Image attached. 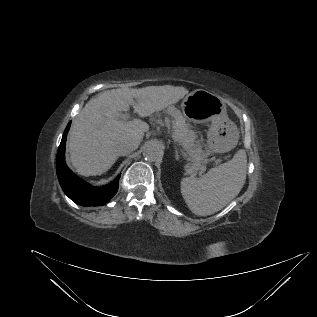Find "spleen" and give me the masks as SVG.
<instances>
[{"label": "spleen", "instance_id": "obj_1", "mask_svg": "<svg viewBox=\"0 0 317 317\" xmlns=\"http://www.w3.org/2000/svg\"><path fill=\"white\" fill-rule=\"evenodd\" d=\"M246 171V152L240 149L232 160L210 169L202 177L183 178L182 196L194 214H214L239 194L246 180Z\"/></svg>", "mask_w": 317, "mask_h": 317}]
</instances>
